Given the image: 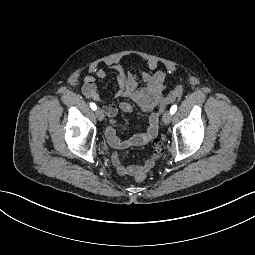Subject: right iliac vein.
I'll use <instances>...</instances> for the list:
<instances>
[{"instance_id":"right-iliac-vein-1","label":"right iliac vein","mask_w":255,"mask_h":255,"mask_svg":"<svg viewBox=\"0 0 255 255\" xmlns=\"http://www.w3.org/2000/svg\"><path fill=\"white\" fill-rule=\"evenodd\" d=\"M95 114H96V117L99 121H102L104 119V112L98 108L96 111H95Z\"/></svg>"}]
</instances>
